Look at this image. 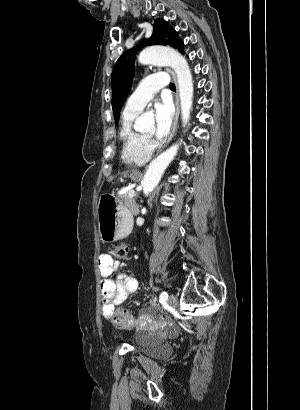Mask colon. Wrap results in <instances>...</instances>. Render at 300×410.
<instances>
[{
    "mask_svg": "<svg viewBox=\"0 0 300 410\" xmlns=\"http://www.w3.org/2000/svg\"><path fill=\"white\" fill-rule=\"evenodd\" d=\"M109 254L115 259H124L128 255V247L123 244L113 245L109 248ZM115 326L128 328L135 324L136 319L125 310H117L112 316Z\"/></svg>",
    "mask_w": 300,
    "mask_h": 410,
    "instance_id": "5ec220e1",
    "label": "colon"
}]
</instances>
